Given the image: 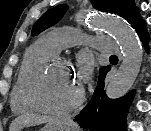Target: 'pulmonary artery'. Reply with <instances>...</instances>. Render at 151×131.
Here are the masks:
<instances>
[{
	"instance_id": "e3ab8cb5",
	"label": "pulmonary artery",
	"mask_w": 151,
	"mask_h": 131,
	"mask_svg": "<svg viewBox=\"0 0 151 131\" xmlns=\"http://www.w3.org/2000/svg\"><path fill=\"white\" fill-rule=\"evenodd\" d=\"M45 39L50 43L56 52L75 44H88L95 48L105 51H114V43L107 36L88 37L76 30L67 28H58L51 30L45 36Z\"/></svg>"
}]
</instances>
